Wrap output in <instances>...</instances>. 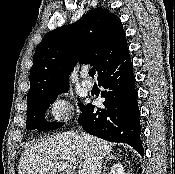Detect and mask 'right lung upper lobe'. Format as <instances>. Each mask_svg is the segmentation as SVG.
<instances>
[{
	"instance_id": "obj_1",
	"label": "right lung upper lobe",
	"mask_w": 175,
	"mask_h": 174,
	"mask_svg": "<svg viewBox=\"0 0 175 174\" xmlns=\"http://www.w3.org/2000/svg\"><path fill=\"white\" fill-rule=\"evenodd\" d=\"M128 53L118 16L102 8L84 15L77 24L50 31L38 45L30 70L27 103L69 88L76 63H90L100 75Z\"/></svg>"
}]
</instances>
